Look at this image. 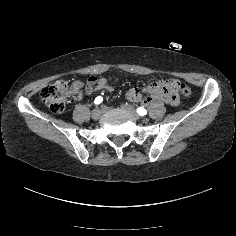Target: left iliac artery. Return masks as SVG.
Wrapping results in <instances>:
<instances>
[{
    "instance_id": "1",
    "label": "left iliac artery",
    "mask_w": 236,
    "mask_h": 236,
    "mask_svg": "<svg viewBox=\"0 0 236 236\" xmlns=\"http://www.w3.org/2000/svg\"><path fill=\"white\" fill-rule=\"evenodd\" d=\"M137 113L140 115V116H144L147 114V111L146 109L142 108V107H139L137 108Z\"/></svg>"
}]
</instances>
